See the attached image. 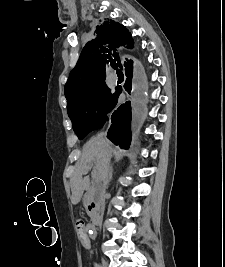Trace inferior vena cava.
Returning <instances> with one entry per match:
<instances>
[{"instance_id":"1","label":"inferior vena cava","mask_w":225,"mask_h":267,"mask_svg":"<svg viewBox=\"0 0 225 267\" xmlns=\"http://www.w3.org/2000/svg\"><path fill=\"white\" fill-rule=\"evenodd\" d=\"M96 138L100 142H105L106 133L103 132L99 134ZM109 180H110V168H109V163H107L98 181V203H99V212L101 213H103L104 211V197Z\"/></svg>"}]
</instances>
